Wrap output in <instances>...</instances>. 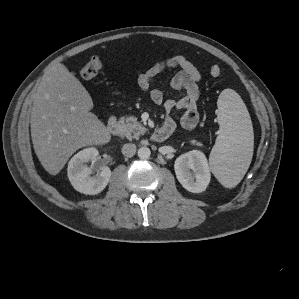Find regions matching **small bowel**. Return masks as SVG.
Here are the masks:
<instances>
[{"label": "small bowel", "mask_w": 299, "mask_h": 299, "mask_svg": "<svg viewBox=\"0 0 299 299\" xmlns=\"http://www.w3.org/2000/svg\"><path fill=\"white\" fill-rule=\"evenodd\" d=\"M167 69H178V72L171 80V87L181 94L179 99H165L162 91L158 89L150 90V84L155 77ZM201 78V72L185 56L174 54L163 61L154 63L145 71L138 72L137 84L143 92L150 93V97L155 104L163 105L167 113L163 126L173 132L175 121L170 113L175 109L183 111L181 124L185 129L192 130L198 125L197 100L200 96L199 82Z\"/></svg>", "instance_id": "small-bowel-1"}]
</instances>
